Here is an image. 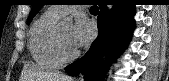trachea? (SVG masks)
<instances>
[{
  "mask_svg": "<svg viewBox=\"0 0 169 81\" xmlns=\"http://www.w3.org/2000/svg\"><path fill=\"white\" fill-rule=\"evenodd\" d=\"M90 10H98V7L96 5L92 6Z\"/></svg>",
  "mask_w": 169,
  "mask_h": 81,
  "instance_id": "1",
  "label": "trachea"
}]
</instances>
